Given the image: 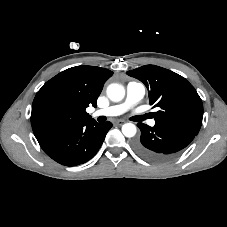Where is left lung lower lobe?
<instances>
[{
	"label": "left lung lower lobe",
	"instance_id": "1",
	"mask_svg": "<svg viewBox=\"0 0 227 227\" xmlns=\"http://www.w3.org/2000/svg\"><path fill=\"white\" fill-rule=\"evenodd\" d=\"M137 126L141 130V137L133 147L141 157L155 163L170 160L196 136L193 132L169 125L155 124L150 127L138 123Z\"/></svg>",
	"mask_w": 227,
	"mask_h": 227
}]
</instances>
